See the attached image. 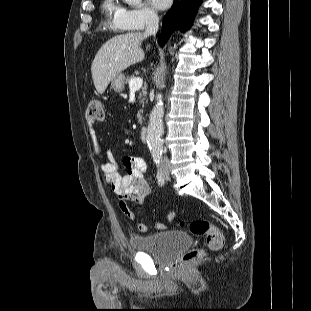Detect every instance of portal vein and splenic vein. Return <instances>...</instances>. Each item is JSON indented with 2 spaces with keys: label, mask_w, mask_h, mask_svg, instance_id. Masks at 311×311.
<instances>
[{
  "label": "portal vein and splenic vein",
  "mask_w": 311,
  "mask_h": 311,
  "mask_svg": "<svg viewBox=\"0 0 311 311\" xmlns=\"http://www.w3.org/2000/svg\"><path fill=\"white\" fill-rule=\"evenodd\" d=\"M143 85V79L140 77H135L131 79L129 82V88L130 90L136 91L139 90Z\"/></svg>",
  "instance_id": "obj_1"
}]
</instances>
